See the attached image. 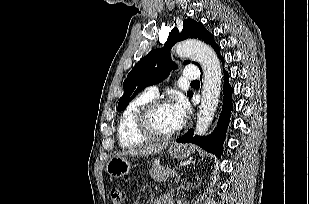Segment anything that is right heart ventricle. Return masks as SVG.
I'll return each instance as SVG.
<instances>
[{"instance_id":"1","label":"right heart ventricle","mask_w":309,"mask_h":204,"mask_svg":"<svg viewBox=\"0 0 309 204\" xmlns=\"http://www.w3.org/2000/svg\"><path fill=\"white\" fill-rule=\"evenodd\" d=\"M154 99L146 91L134 97L124 109L118 123V139L122 147H131L144 143L147 138L142 136L135 127V116L142 105Z\"/></svg>"}]
</instances>
